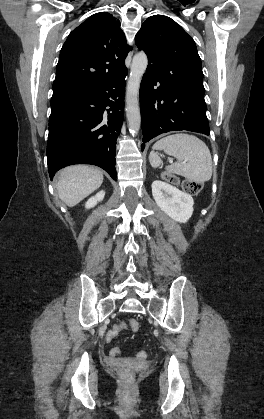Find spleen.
Returning a JSON list of instances; mask_svg holds the SVG:
<instances>
[{
  "instance_id": "spleen-1",
  "label": "spleen",
  "mask_w": 264,
  "mask_h": 419,
  "mask_svg": "<svg viewBox=\"0 0 264 419\" xmlns=\"http://www.w3.org/2000/svg\"><path fill=\"white\" fill-rule=\"evenodd\" d=\"M156 150H164L174 156L177 163L166 167L167 171L181 175L189 181L205 182L212 177V158L207 145L198 137L178 133L158 140L149 155L151 166L162 164Z\"/></svg>"
}]
</instances>
